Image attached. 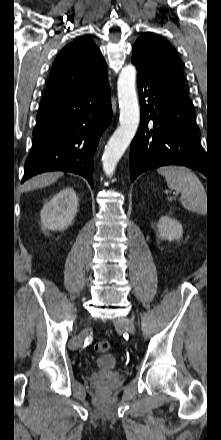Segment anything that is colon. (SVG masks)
<instances>
[{
	"mask_svg": "<svg viewBox=\"0 0 221 440\" xmlns=\"http://www.w3.org/2000/svg\"><path fill=\"white\" fill-rule=\"evenodd\" d=\"M111 348V345L108 341H99L94 345V349L97 352H108Z\"/></svg>",
	"mask_w": 221,
	"mask_h": 440,
	"instance_id": "obj_1",
	"label": "colon"
}]
</instances>
